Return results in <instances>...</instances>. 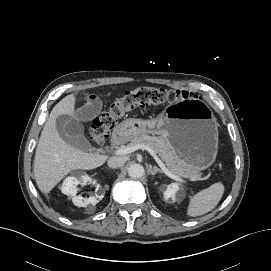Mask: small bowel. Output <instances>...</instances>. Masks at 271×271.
I'll use <instances>...</instances> for the list:
<instances>
[{"label":"small bowel","mask_w":271,"mask_h":271,"mask_svg":"<svg viewBox=\"0 0 271 271\" xmlns=\"http://www.w3.org/2000/svg\"><path fill=\"white\" fill-rule=\"evenodd\" d=\"M101 108V102L96 95H90L87 102L80 107L75 108L67 115L57 119L56 126L62 136L71 144L83 147L84 137L81 131L80 124L95 117ZM146 109L147 106L142 107Z\"/></svg>","instance_id":"1"}]
</instances>
